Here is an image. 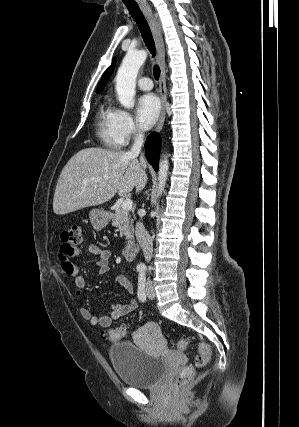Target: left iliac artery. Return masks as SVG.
<instances>
[{"mask_svg":"<svg viewBox=\"0 0 299 427\" xmlns=\"http://www.w3.org/2000/svg\"><path fill=\"white\" fill-rule=\"evenodd\" d=\"M145 284H146L145 272L141 271L139 273V276H138V290H137V295H138L139 300L142 301V302L146 300Z\"/></svg>","mask_w":299,"mask_h":427,"instance_id":"obj_1","label":"left iliac artery"}]
</instances>
